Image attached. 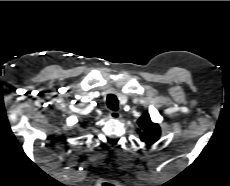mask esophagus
Here are the masks:
<instances>
[{"instance_id": "34e87169", "label": "esophagus", "mask_w": 230, "mask_h": 186, "mask_svg": "<svg viewBox=\"0 0 230 186\" xmlns=\"http://www.w3.org/2000/svg\"><path fill=\"white\" fill-rule=\"evenodd\" d=\"M109 117L112 119H119L121 118V114L118 111H111Z\"/></svg>"}]
</instances>
